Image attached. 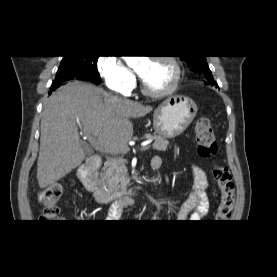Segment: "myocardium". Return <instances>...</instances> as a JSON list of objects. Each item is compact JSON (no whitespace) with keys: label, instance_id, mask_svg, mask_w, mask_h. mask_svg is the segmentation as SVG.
<instances>
[{"label":"myocardium","instance_id":"myocardium-1","mask_svg":"<svg viewBox=\"0 0 277 277\" xmlns=\"http://www.w3.org/2000/svg\"><path fill=\"white\" fill-rule=\"evenodd\" d=\"M152 60L166 62L173 70V78L170 85L167 88L160 91H154L149 89L145 85L144 81L141 80L142 93L152 98H162L174 93L180 83L181 75H182V69L179 62L176 60L175 57H172L169 55H159V56L153 57Z\"/></svg>","mask_w":277,"mask_h":277}]
</instances>
